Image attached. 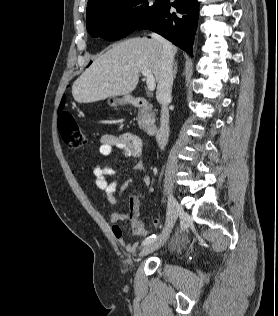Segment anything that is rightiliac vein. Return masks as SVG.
Here are the masks:
<instances>
[{"mask_svg": "<svg viewBox=\"0 0 278 316\" xmlns=\"http://www.w3.org/2000/svg\"><path fill=\"white\" fill-rule=\"evenodd\" d=\"M180 211H181L180 205L178 204L175 197L172 194H170L169 200H168V212H167L166 227H165V229L160 237H158L157 239H155L154 241L145 245L142 248V250L139 254L140 257H144V256L152 253L153 251L159 249L167 241Z\"/></svg>", "mask_w": 278, "mask_h": 316, "instance_id": "1", "label": "right iliac vein"}]
</instances>
